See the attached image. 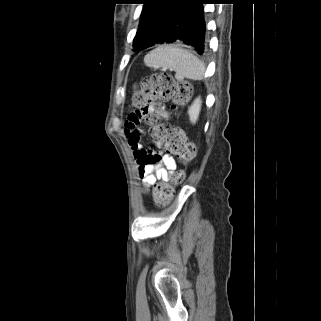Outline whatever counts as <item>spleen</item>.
I'll return each mask as SVG.
<instances>
[{"label":"spleen","mask_w":321,"mask_h":321,"mask_svg":"<svg viewBox=\"0 0 321 321\" xmlns=\"http://www.w3.org/2000/svg\"><path fill=\"white\" fill-rule=\"evenodd\" d=\"M147 67L170 69L176 72L177 79L201 80L205 73L204 63L190 51L178 44H163L144 57Z\"/></svg>","instance_id":"spleen-1"}]
</instances>
